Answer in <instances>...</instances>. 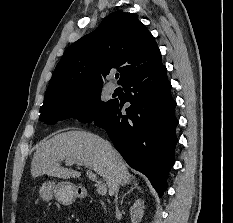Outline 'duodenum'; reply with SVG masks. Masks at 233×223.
<instances>
[{"label": "duodenum", "instance_id": "410a0bca", "mask_svg": "<svg viewBox=\"0 0 233 223\" xmlns=\"http://www.w3.org/2000/svg\"><path fill=\"white\" fill-rule=\"evenodd\" d=\"M81 196H82V197H86L87 194L83 192V193H81Z\"/></svg>", "mask_w": 233, "mask_h": 223}]
</instances>
